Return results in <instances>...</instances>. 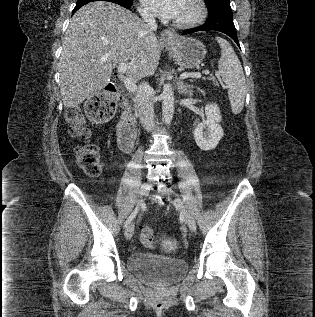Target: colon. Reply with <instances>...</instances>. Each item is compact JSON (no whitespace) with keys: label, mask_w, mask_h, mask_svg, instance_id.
Instances as JSON below:
<instances>
[{"label":"colon","mask_w":315,"mask_h":317,"mask_svg":"<svg viewBox=\"0 0 315 317\" xmlns=\"http://www.w3.org/2000/svg\"><path fill=\"white\" fill-rule=\"evenodd\" d=\"M116 106L115 92L112 89H105L86 102L85 114L91 120L106 122L113 117ZM65 120L70 126L71 135L82 141L76 151L77 164L88 177L96 178L101 172V157L98 147L90 141V131L86 127L84 113L80 107L71 106L65 112ZM140 238L146 245H153V229L148 226L142 227Z\"/></svg>","instance_id":"colon-1"}]
</instances>
